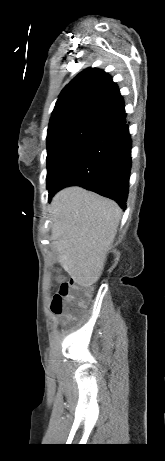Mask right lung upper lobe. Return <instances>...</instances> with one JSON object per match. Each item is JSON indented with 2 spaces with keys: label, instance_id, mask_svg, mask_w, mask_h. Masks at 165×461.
<instances>
[{
  "label": "right lung upper lobe",
  "instance_id": "right-lung-upper-lobe-1",
  "mask_svg": "<svg viewBox=\"0 0 165 461\" xmlns=\"http://www.w3.org/2000/svg\"><path fill=\"white\" fill-rule=\"evenodd\" d=\"M124 111L123 98L108 73L87 68L61 91L50 122L81 115H94L107 121Z\"/></svg>",
  "mask_w": 165,
  "mask_h": 461
}]
</instances>
